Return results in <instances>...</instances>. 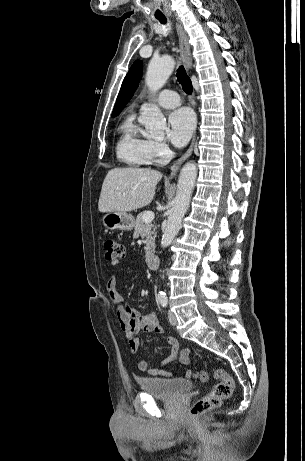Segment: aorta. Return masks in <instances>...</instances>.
I'll use <instances>...</instances> for the list:
<instances>
[{
    "label": "aorta",
    "instance_id": "762f6f07",
    "mask_svg": "<svg viewBox=\"0 0 305 461\" xmlns=\"http://www.w3.org/2000/svg\"><path fill=\"white\" fill-rule=\"evenodd\" d=\"M174 61L170 56H164L150 61L145 82L152 92L163 87L173 72ZM141 122L148 134L154 138H162L166 128V119L157 106H150L143 110ZM197 168L194 162L186 163L181 169L174 206L169 214L167 225L162 236L161 246L168 247L178 234L182 218L184 217L194 188Z\"/></svg>",
    "mask_w": 305,
    "mask_h": 461
}]
</instances>
